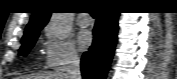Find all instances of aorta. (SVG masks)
I'll return each mask as SVG.
<instances>
[{
    "mask_svg": "<svg viewBox=\"0 0 177 79\" xmlns=\"http://www.w3.org/2000/svg\"><path fill=\"white\" fill-rule=\"evenodd\" d=\"M49 25L56 37L67 38L72 30L71 13H53Z\"/></svg>",
    "mask_w": 177,
    "mask_h": 79,
    "instance_id": "obj_1",
    "label": "aorta"
}]
</instances>
